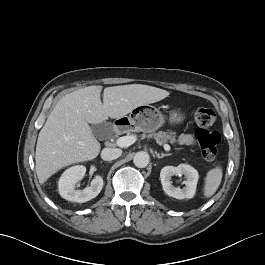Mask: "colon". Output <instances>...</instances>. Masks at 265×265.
Instances as JSON below:
<instances>
[{
  "mask_svg": "<svg viewBox=\"0 0 265 265\" xmlns=\"http://www.w3.org/2000/svg\"><path fill=\"white\" fill-rule=\"evenodd\" d=\"M193 117L197 125L195 136L202 156L207 162L214 163L221 143L220 133L213 128L216 114L210 108L200 107L194 111Z\"/></svg>",
  "mask_w": 265,
  "mask_h": 265,
  "instance_id": "colon-1",
  "label": "colon"
}]
</instances>
